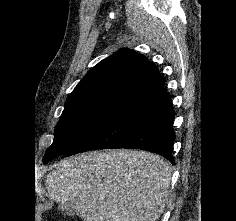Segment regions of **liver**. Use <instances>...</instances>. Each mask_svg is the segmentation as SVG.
<instances>
[{"label": "liver", "instance_id": "obj_1", "mask_svg": "<svg viewBox=\"0 0 236 221\" xmlns=\"http://www.w3.org/2000/svg\"><path fill=\"white\" fill-rule=\"evenodd\" d=\"M172 169L147 151L117 149L64 159L47 175L59 203L77 202L83 221H155L168 201Z\"/></svg>", "mask_w": 236, "mask_h": 221}]
</instances>
